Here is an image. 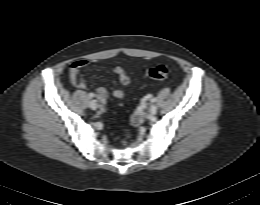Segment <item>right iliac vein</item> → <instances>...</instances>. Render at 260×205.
Here are the masks:
<instances>
[{
  "instance_id": "63e3f726",
  "label": "right iliac vein",
  "mask_w": 260,
  "mask_h": 205,
  "mask_svg": "<svg viewBox=\"0 0 260 205\" xmlns=\"http://www.w3.org/2000/svg\"><path fill=\"white\" fill-rule=\"evenodd\" d=\"M89 106H90V108H91L92 110H96V109L98 108V103H97L96 100H91V101L89 102Z\"/></svg>"
}]
</instances>
